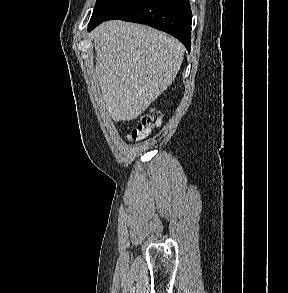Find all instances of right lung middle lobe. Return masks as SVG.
Listing matches in <instances>:
<instances>
[{
  "instance_id": "1",
  "label": "right lung middle lobe",
  "mask_w": 288,
  "mask_h": 293,
  "mask_svg": "<svg viewBox=\"0 0 288 293\" xmlns=\"http://www.w3.org/2000/svg\"><path fill=\"white\" fill-rule=\"evenodd\" d=\"M125 1L126 0H97L88 28L102 23Z\"/></svg>"
}]
</instances>
